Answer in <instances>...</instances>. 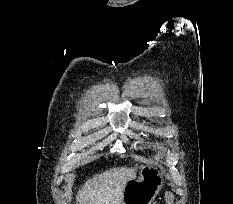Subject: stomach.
Listing matches in <instances>:
<instances>
[{
    "instance_id": "obj_1",
    "label": "stomach",
    "mask_w": 233,
    "mask_h": 204,
    "mask_svg": "<svg viewBox=\"0 0 233 204\" xmlns=\"http://www.w3.org/2000/svg\"><path fill=\"white\" fill-rule=\"evenodd\" d=\"M162 172L151 165L141 168L138 178L129 180L121 204H151L163 186Z\"/></svg>"
}]
</instances>
